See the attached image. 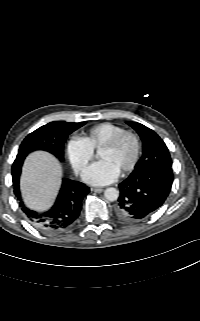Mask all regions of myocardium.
I'll use <instances>...</instances> for the list:
<instances>
[{"mask_svg": "<svg viewBox=\"0 0 200 321\" xmlns=\"http://www.w3.org/2000/svg\"><path fill=\"white\" fill-rule=\"evenodd\" d=\"M125 137L132 138V140L134 141V145H135V152H134V156H133L131 162L121 171V174H127V173L131 172L135 168V166L137 165V163L139 161L142 145H141V140H140L138 134H136L135 132L130 131V130H124V131L116 134L115 136H113L111 139H109L107 142H105L99 148V150L112 149V148L116 147L120 143V141Z\"/></svg>", "mask_w": 200, "mask_h": 321, "instance_id": "obj_1", "label": "myocardium"}]
</instances>
